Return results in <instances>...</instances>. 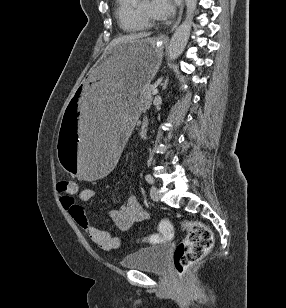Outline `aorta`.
I'll return each instance as SVG.
<instances>
[{
  "label": "aorta",
  "instance_id": "obj_1",
  "mask_svg": "<svg viewBox=\"0 0 286 308\" xmlns=\"http://www.w3.org/2000/svg\"><path fill=\"white\" fill-rule=\"evenodd\" d=\"M185 4L187 10L185 20L174 32L168 47V57L170 60H175L181 55L190 36L192 19L196 10L197 0H185Z\"/></svg>",
  "mask_w": 286,
  "mask_h": 308
}]
</instances>
